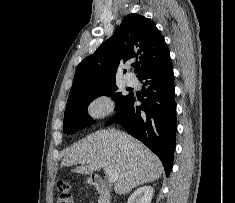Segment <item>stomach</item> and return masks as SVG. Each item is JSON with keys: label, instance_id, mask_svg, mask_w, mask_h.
I'll list each match as a JSON object with an SVG mask.
<instances>
[{"label": "stomach", "instance_id": "1", "mask_svg": "<svg viewBox=\"0 0 235 203\" xmlns=\"http://www.w3.org/2000/svg\"><path fill=\"white\" fill-rule=\"evenodd\" d=\"M92 181H93L92 178L88 179V183H92Z\"/></svg>", "mask_w": 235, "mask_h": 203}]
</instances>
